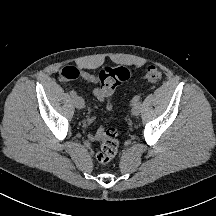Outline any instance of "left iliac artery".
Returning <instances> with one entry per match:
<instances>
[{"mask_svg":"<svg viewBox=\"0 0 216 216\" xmlns=\"http://www.w3.org/2000/svg\"><path fill=\"white\" fill-rule=\"evenodd\" d=\"M141 99L140 95H136L133 99H132V104H137L139 103V100Z\"/></svg>","mask_w":216,"mask_h":216,"instance_id":"1","label":"left iliac artery"}]
</instances>
